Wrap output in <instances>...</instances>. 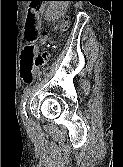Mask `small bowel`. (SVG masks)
Segmentation results:
<instances>
[{
    "label": "small bowel",
    "mask_w": 123,
    "mask_h": 167,
    "mask_svg": "<svg viewBox=\"0 0 123 167\" xmlns=\"http://www.w3.org/2000/svg\"><path fill=\"white\" fill-rule=\"evenodd\" d=\"M46 40H47V38H46V37H44V38H42V39H41V41H40V42H41V43H45V42H46ZM26 83H28V82H26Z\"/></svg>",
    "instance_id": "1"
}]
</instances>
